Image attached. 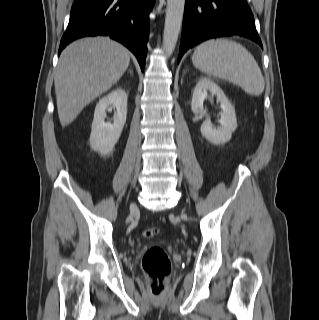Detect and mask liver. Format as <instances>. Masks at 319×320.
I'll list each match as a JSON object with an SVG mask.
<instances>
[{"label": "liver", "instance_id": "1", "mask_svg": "<svg viewBox=\"0 0 319 320\" xmlns=\"http://www.w3.org/2000/svg\"><path fill=\"white\" fill-rule=\"evenodd\" d=\"M129 63L128 50L108 37H88L68 45L60 55L54 78L62 127L117 83Z\"/></svg>", "mask_w": 319, "mask_h": 320}]
</instances>
